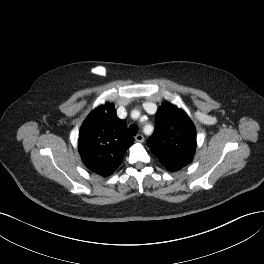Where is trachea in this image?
<instances>
[{
    "label": "trachea",
    "mask_w": 264,
    "mask_h": 264,
    "mask_svg": "<svg viewBox=\"0 0 264 264\" xmlns=\"http://www.w3.org/2000/svg\"><path fill=\"white\" fill-rule=\"evenodd\" d=\"M128 132H129L130 135L134 136L138 132V127L136 125L132 124V125L129 126Z\"/></svg>",
    "instance_id": "3493384b"
}]
</instances>
